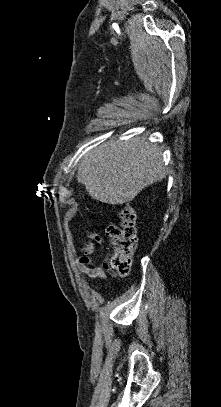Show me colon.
Instances as JSON below:
<instances>
[{
  "mask_svg": "<svg viewBox=\"0 0 221 407\" xmlns=\"http://www.w3.org/2000/svg\"><path fill=\"white\" fill-rule=\"evenodd\" d=\"M120 222L108 226L106 233L111 239L112 251L108 267L126 276L130 271L131 258L136 247L135 214L130 207L119 211Z\"/></svg>",
  "mask_w": 221,
  "mask_h": 407,
  "instance_id": "5ec220e1",
  "label": "colon"
}]
</instances>
